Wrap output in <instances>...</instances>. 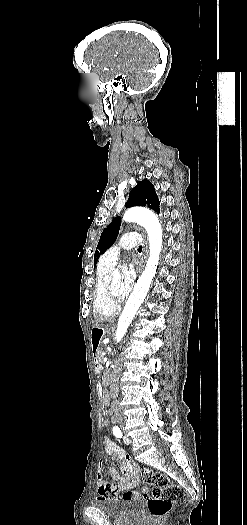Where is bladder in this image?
<instances>
[{
  "mask_svg": "<svg viewBox=\"0 0 247 525\" xmlns=\"http://www.w3.org/2000/svg\"><path fill=\"white\" fill-rule=\"evenodd\" d=\"M92 505L108 517L124 518L127 515L139 513L143 505V500L128 498H102L100 500H93Z\"/></svg>",
  "mask_w": 247,
  "mask_h": 525,
  "instance_id": "bladder-1",
  "label": "bladder"
}]
</instances>
